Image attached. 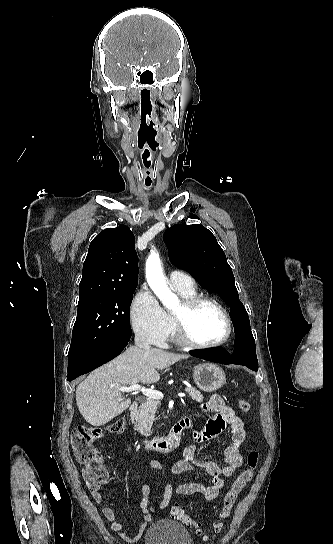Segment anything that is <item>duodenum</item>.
I'll use <instances>...</instances> for the list:
<instances>
[{
    "mask_svg": "<svg viewBox=\"0 0 333 544\" xmlns=\"http://www.w3.org/2000/svg\"><path fill=\"white\" fill-rule=\"evenodd\" d=\"M130 412L134 415L138 409L135 401L130 406ZM185 431V419L179 420L171 428L166 436H153L144 441V447L148 451L170 452L179 446Z\"/></svg>",
    "mask_w": 333,
    "mask_h": 544,
    "instance_id": "1",
    "label": "duodenum"
}]
</instances>
